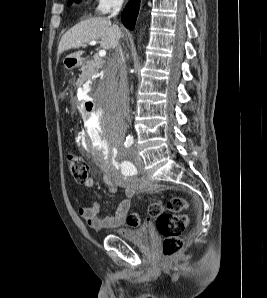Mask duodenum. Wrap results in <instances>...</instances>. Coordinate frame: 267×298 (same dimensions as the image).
<instances>
[{"mask_svg":"<svg viewBox=\"0 0 267 298\" xmlns=\"http://www.w3.org/2000/svg\"><path fill=\"white\" fill-rule=\"evenodd\" d=\"M82 62L77 61L73 67L81 65ZM96 93H89V97L80 98V103L83 105V109H85V115H95V110L93 105L96 104L95 101Z\"/></svg>","mask_w":267,"mask_h":298,"instance_id":"obj_1","label":"duodenum"}]
</instances>
